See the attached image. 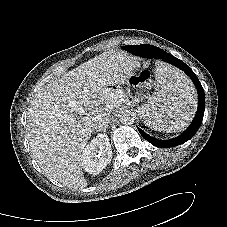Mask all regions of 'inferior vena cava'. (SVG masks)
<instances>
[{"mask_svg": "<svg viewBox=\"0 0 227 227\" xmlns=\"http://www.w3.org/2000/svg\"><path fill=\"white\" fill-rule=\"evenodd\" d=\"M109 120H110L109 116L104 117V118H98L96 120V123L94 124V128L96 130H100L101 127H103V126L105 127L108 124Z\"/></svg>", "mask_w": 227, "mask_h": 227, "instance_id": "inferior-vena-cava-1", "label": "inferior vena cava"}]
</instances>
